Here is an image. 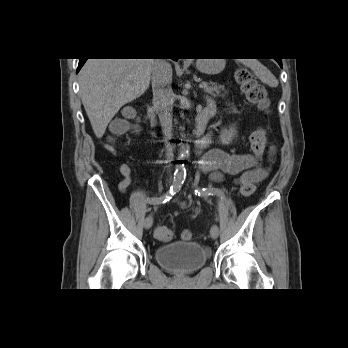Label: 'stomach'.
Instances as JSON below:
<instances>
[{"label":"stomach","mask_w":348,"mask_h":348,"mask_svg":"<svg viewBox=\"0 0 348 348\" xmlns=\"http://www.w3.org/2000/svg\"><path fill=\"white\" fill-rule=\"evenodd\" d=\"M224 66V59H198L196 61V68L205 74H217L223 70Z\"/></svg>","instance_id":"0dacf381"}]
</instances>
